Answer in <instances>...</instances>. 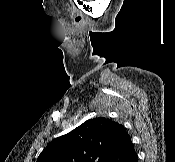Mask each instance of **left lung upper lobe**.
Returning <instances> with one entry per match:
<instances>
[{
  "label": "left lung upper lobe",
  "mask_w": 175,
  "mask_h": 162,
  "mask_svg": "<svg viewBox=\"0 0 175 162\" xmlns=\"http://www.w3.org/2000/svg\"><path fill=\"white\" fill-rule=\"evenodd\" d=\"M127 134L121 124L110 119H89L51 141L37 162H107Z\"/></svg>",
  "instance_id": "1"
}]
</instances>
